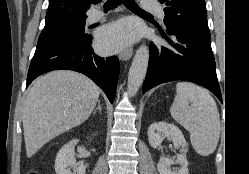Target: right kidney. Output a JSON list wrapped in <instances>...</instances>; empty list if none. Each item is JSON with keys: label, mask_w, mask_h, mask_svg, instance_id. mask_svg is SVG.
<instances>
[{"label": "right kidney", "mask_w": 249, "mask_h": 174, "mask_svg": "<svg viewBox=\"0 0 249 174\" xmlns=\"http://www.w3.org/2000/svg\"><path fill=\"white\" fill-rule=\"evenodd\" d=\"M78 140H72L70 143L64 145L57 153L55 159L56 174H85L86 168L84 165L76 163L75 159V145ZM73 169V172L71 171Z\"/></svg>", "instance_id": "obj_1"}]
</instances>
